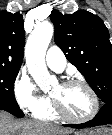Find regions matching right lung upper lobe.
<instances>
[{
	"label": "right lung upper lobe",
	"instance_id": "1",
	"mask_svg": "<svg viewBox=\"0 0 112 135\" xmlns=\"http://www.w3.org/2000/svg\"><path fill=\"white\" fill-rule=\"evenodd\" d=\"M25 32L20 13L0 12V66H21Z\"/></svg>",
	"mask_w": 112,
	"mask_h": 135
}]
</instances>
